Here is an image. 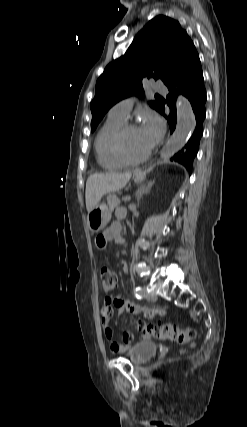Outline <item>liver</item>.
Here are the masks:
<instances>
[{
    "mask_svg": "<svg viewBox=\"0 0 247 427\" xmlns=\"http://www.w3.org/2000/svg\"><path fill=\"white\" fill-rule=\"evenodd\" d=\"M131 172L95 173L86 182V208L88 213L100 202L103 195L121 190L129 182Z\"/></svg>",
    "mask_w": 247,
    "mask_h": 427,
    "instance_id": "liver-1",
    "label": "liver"
}]
</instances>
